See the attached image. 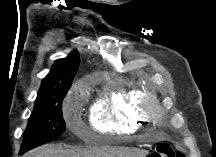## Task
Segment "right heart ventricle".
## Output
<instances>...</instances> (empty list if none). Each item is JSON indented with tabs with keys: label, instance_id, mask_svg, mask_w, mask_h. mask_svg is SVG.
<instances>
[{
	"label": "right heart ventricle",
	"instance_id": "right-heart-ventricle-1",
	"mask_svg": "<svg viewBox=\"0 0 216 157\" xmlns=\"http://www.w3.org/2000/svg\"><path fill=\"white\" fill-rule=\"evenodd\" d=\"M141 92L122 83L107 85L90 109V124L102 134L124 135L142 127L144 117L139 110Z\"/></svg>",
	"mask_w": 216,
	"mask_h": 157
}]
</instances>
